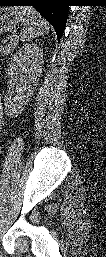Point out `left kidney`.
<instances>
[{
    "mask_svg": "<svg viewBox=\"0 0 106 257\" xmlns=\"http://www.w3.org/2000/svg\"><path fill=\"white\" fill-rule=\"evenodd\" d=\"M42 63L43 52L36 44H25L12 56L8 67L9 92L5 96V106L10 112L19 113L31 97Z\"/></svg>",
    "mask_w": 106,
    "mask_h": 257,
    "instance_id": "5707ae66",
    "label": "left kidney"
}]
</instances>
